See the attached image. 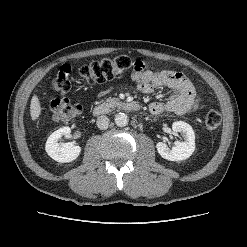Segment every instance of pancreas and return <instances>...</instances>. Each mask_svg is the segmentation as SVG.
I'll return each mask as SVG.
<instances>
[{"label": "pancreas", "instance_id": "obj_1", "mask_svg": "<svg viewBox=\"0 0 247 247\" xmlns=\"http://www.w3.org/2000/svg\"><path fill=\"white\" fill-rule=\"evenodd\" d=\"M118 102H119V99L109 97L105 101H102L101 103L102 105H105V106H113L114 104H117Z\"/></svg>", "mask_w": 247, "mask_h": 247}]
</instances>
